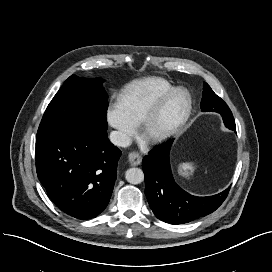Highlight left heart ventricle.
I'll return each instance as SVG.
<instances>
[{
  "mask_svg": "<svg viewBox=\"0 0 272 272\" xmlns=\"http://www.w3.org/2000/svg\"><path fill=\"white\" fill-rule=\"evenodd\" d=\"M177 117V110L175 106H170L162 116V123L173 121Z\"/></svg>",
  "mask_w": 272,
  "mask_h": 272,
  "instance_id": "b2bd125f",
  "label": "left heart ventricle"
}]
</instances>
